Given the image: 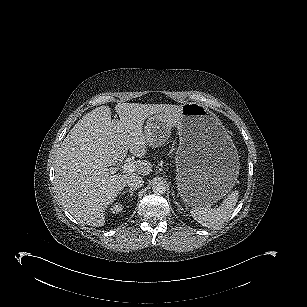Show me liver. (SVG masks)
Returning <instances> with one entry per match:
<instances>
[{"label":"liver","instance_id":"1","mask_svg":"<svg viewBox=\"0 0 307 307\" xmlns=\"http://www.w3.org/2000/svg\"><path fill=\"white\" fill-rule=\"evenodd\" d=\"M167 104L118 103V119L111 108L100 106L78 121L56 155L55 187L65 209L80 223L104 225V211L114 202L132 176H147L152 164L139 160L133 172L110 175L108 167L123 161L128 151L145 157L153 145L152 134L142 130L143 121L157 113L174 112Z\"/></svg>","mask_w":307,"mask_h":307}]
</instances>
